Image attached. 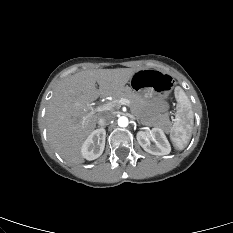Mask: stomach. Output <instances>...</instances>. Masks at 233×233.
<instances>
[{"label":"stomach","mask_w":233,"mask_h":233,"mask_svg":"<svg viewBox=\"0 0 233 233\" xmlns=\"http://www.w3.org/2000/svg\"><path fill=\"white\" fill-rule=\"evenodd\" d=\"M131 90L136 92L145 101L156 97L168 102L173 100L178 92L176 82L172 77L158 69H141L135 72L130 80Z\"/></svg>","instance_id":"1"}]
</instances>
